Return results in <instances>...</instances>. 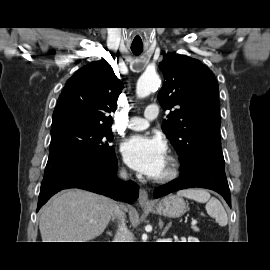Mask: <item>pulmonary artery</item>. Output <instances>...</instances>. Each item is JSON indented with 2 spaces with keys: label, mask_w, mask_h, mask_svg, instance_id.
<instances>
[{
  "label": "pulmonary artery",
  "mask_w": 270,
  "mask_h": 270,
  "mask_svg": "<svg viewBox=\"0 0 270 270\" xmlns=\"http://www.w3.org/2000/svg\"><path fill=\"white\" fill-rule=\"evenodd\" d=\"M158 107L156 105H149L145 110V117H132L128 123V128L132 130H144L149 126V121L157 118Z\"/></svg>",
  "instance_id": "1"
}]
</instances>
